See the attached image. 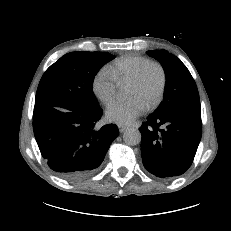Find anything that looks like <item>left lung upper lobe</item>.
<instances>
[{
	"label": "left lung upper lobe",
	"mask_w": 231,
	"mask_h": 231,
	"mask_svg": "<svg viewBox=\"0 0 231 231\" xmlns=\"http://www.w3.org/2000/svg\"><path fill=\"white\" fill-rule=\"evenodd\" d=\"M147 54L161 63L167 80L164 101L153 114L165 115L186 107L200 108L196 83L180 59L166 50H150Z\"/></svg>",
	"instance_id": "1"
}]
</instances>
